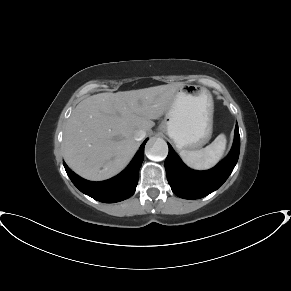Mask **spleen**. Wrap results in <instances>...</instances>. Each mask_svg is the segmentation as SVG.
<instances>
[{
  "label": "spleen",
  "instance_id": "3e777b00",
  "mask_svg": "<svg viewBox=\"0 0 291 291\" xmlns=\"http://www.w3.org/2000/svg\"><path fill=\"white\" fill-rule=\"evenodd\" d=\"M226 136L220 134L203 149L190 151L181 150L180 156L184 163L195 170H207L215 166L222 158L226 148Z\"/></svg>",
  "mask_w": 291,
  "mask_h": 291
}]
</instances>
